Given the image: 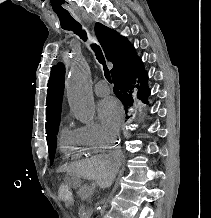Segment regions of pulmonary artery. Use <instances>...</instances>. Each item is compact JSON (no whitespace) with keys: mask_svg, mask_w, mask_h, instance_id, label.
<instances>
[{"mask_svg":"<svg viewBox=\"0 0 211 218\" xmlns=\"http://www.w3.org/2000/svg\"><path fill=\"white\" fill-rule=\"evenodd\" d=\"M95 93L98 96H107L110 93V87L105 80H100L95 85Z\"/></svg>","mask_w":211,"mask_h":218,"instance_id":"obj_1","label":"pulmonary artery"}]
</instances>
